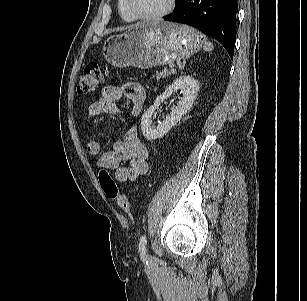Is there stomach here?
I'll use <instances>...</instances> for the list:
<instances>
[{
  "label": "stomach",
  "instance_id": "obj_1",
  "mask_svg": "<svg viewBox=\"0 0 307 301\" xmlns=\"http://www.w3.org/2000/svg\"><path fill=\"white\" fill-rule=\"evenodd\" d=\"M203 42V35L188 25L155 22L132 26L123 34L111 36L103 47V54L114 67L146 69L187 59Z\"/></svg>",
  "mask_w": 307,
  "mask_h": 301
}]
</instances>
